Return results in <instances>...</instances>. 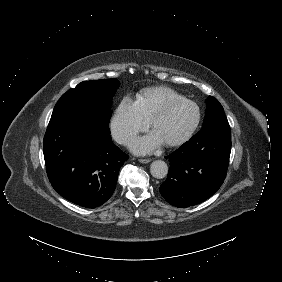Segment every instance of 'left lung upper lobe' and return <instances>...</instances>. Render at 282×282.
Segmentation results:
<instances>
[{
	"label": "left lung upper lobe",
	"mask_w": 282,
	"mask_h": 282,
	"mask_svg": "<svg viewBox=\"0 0 282 282\" xmlns=\"http://www.w3.org/2000/svg\"><path fill=\"white\" fill-rule=\"evenodd\" d=\"M206 105V115L204 118L203 126L219 121H227L223 107L217 99L209 96L206 100Z\"/></svg>",
	"instance_id": "5c2ea615"
}]
</instances>
